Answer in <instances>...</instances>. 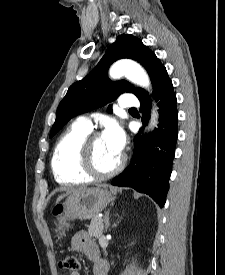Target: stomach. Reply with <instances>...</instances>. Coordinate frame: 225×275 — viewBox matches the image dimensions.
<instances>
[{"label": "stomach", "mask_w": 225, "mask_h": 275, "mask_svg": "<svg viewBox=\"0 0 225 275\" xmlns=\"http://www.w3.org/2000/svg\"><path fill=\"white\" fill-rule=\"evenodd\" d=\"M112 198V191L105 187L88 188L71 194L62 204L63 218L59 221L58 230L60 231L68 220H87L96 217Z\"/></svg>", "instance_id": "0dacf381"}]
</instances>
